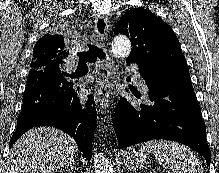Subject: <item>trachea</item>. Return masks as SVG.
I'll use <instances>...</instances> for the list:
<instances>
[{
  "mask_svg": "<svg viewBox=\"0 0 219 173\" xmlns=\"http://www.w3.org/2000/svg\"><path fill=\"white\" fill-rule=\"evenodd\" d=\"M89 50L87 52L78 53L79 63L78 68L87 69V63H93L100 59V61H106V54L102 48L95 44H88Z\"/></svg>",
  "mask_w": 219,
  "mask_h": 173,
  "instance_id": "1",
  "label": "trachea"
}]
</instances>
